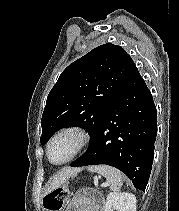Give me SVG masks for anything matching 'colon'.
<instances>
[{
	"instance_id": "1",
	"label": "colon",
	"mask_w": 179,
	"mask_h": 211,
	"mask_svg": "<svg viewBox=\"0 0 179 211\" xmlns=\"http://www.w3.org/2000/svg\"><path fill=\"white\" fill-rule=\"evenodd\" d=\"M68 192L65 189H56L44 198L47 211H60L67 200Z\"/></svg>"
}]
</instances>
